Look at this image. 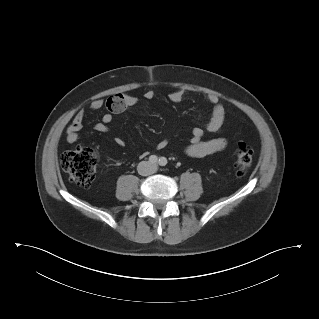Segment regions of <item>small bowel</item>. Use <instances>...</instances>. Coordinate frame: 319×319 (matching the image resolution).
I'll return each mask as SVG.
<instances>
[{
	"label": "small bowel",
	"mask_w": 319,
	"mask_h": 319,
	"mask_svg": "<svg viewBox=\"0 0 319 319\" xmlns=\"http://www.w3.org/2000/svg\"><path fill=\"white\" fill-rule=\"evenodd\" d=\"M185 92L181 89L175 90L170 93L169 98L172 102H180L183 100ZM144 98L151 100L154 98L155 93L153 90H146L143 94ZM98 98L91 102L90 109L98 111L106 109L101 121L94 127L95 131L99 133H105L109 130V124L113 120V114L126 110L136 104L137 98L133 95L125 94L118 95L117 98H113V109L109 107V101ZM205 100L212 106V116L204 127H195L192 130L191 139L189 145L186 147L185 152L191 157H204L215 152H219L226 147V140L224 138H213L209 140H203L205 132L216 133L220 131L226 121V111L220 99L215 94H209ZM85 118V111L79 110L73 117L71 123L67 126L65 131L66 141L68 143H75L78 141L80 132L83 128ZM118 145H124V140L120 137L115 139ZM167 141L162 140L158 143V149H164L167 146Z\"/></svg>",
	"instance_id": "1"
}]
</instances>
